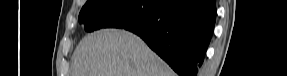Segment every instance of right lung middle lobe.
<instances>
[{"instance_id": "obj_1", "label": "right lung middle lobe", "mask_w": 287, "mask_h": 76, "mask_svg": "<svg viewBox=\"0 0 287 76\" xmlns=\"http://www.w3.org/2000/svg\"><path fill=\"white\" fill-rule=\"evenodd\" d=\"M159 0H90L82 7L78 20L87 32L102 28H125L148 19Z\"/></svg>"}]
</instances>
